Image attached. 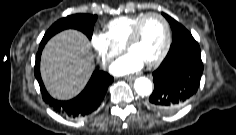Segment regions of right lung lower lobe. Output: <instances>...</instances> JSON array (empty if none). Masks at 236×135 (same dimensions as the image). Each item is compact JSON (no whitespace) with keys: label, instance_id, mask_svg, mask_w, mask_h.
<instances>
[{"label":"right lung lower lobe","instance_id":"98d812e1","mask_svg":"<svg viewBox=\"0 0 236 135\" xmlns=\"http://www.w3.org/2000/svg\"><path fill=\"white\" fill-rule=\"evenodd\" d=\"M45 44L40 43L34 68V74L39 82L44 101L64 116L81 118L90 115L100 106L108 86L114 81V78L107 72L96 70L85 89L77 97L69 101L55 100L46 91L40 75V58Z\"/></svg>","mask_w":236,"mask_h":135}]
</instances>
